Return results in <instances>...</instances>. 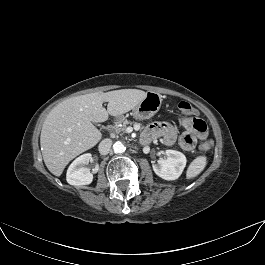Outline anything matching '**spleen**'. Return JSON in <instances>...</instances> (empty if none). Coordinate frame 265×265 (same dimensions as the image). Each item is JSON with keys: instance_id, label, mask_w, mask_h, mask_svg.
Segmentation results:
<instances>
[{"instance_id": "1", "label": "spleen", "mask_w": 265, "mask_h": 265, "mask_svg": "<svg viewBox=\"0 0 265 265\" xmlns=\"http://www.w3.org/2000/svg\"><path fill=\"white\" fill-rule=\"evenodd\" d=\"M207 159L205 156L196 157L189 165L186 173L187 179H192L198 176L206 167Z\"/></svg>"}]
</instances>
